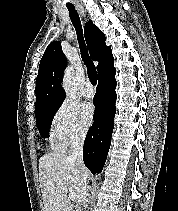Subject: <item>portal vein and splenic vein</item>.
Here are the masks:
<instances>
[{
	"mask_svg": "<svg viewBox=\"0 0 178 211\" xmlns=\"http://www.w3.org/2000/svg\"><path fill=\"white\" fill-rule=\"evenodd\" d=\"M64 192L68 193V189L67 187H63L62 188ZM69 198L71 201H75L77 198H76V195L74 193H69Z\"/></svg>",
	"mask_w": 178,
	"mask_h": 211,
	"instance_id": "obj_1",
	"label": "portal vein and splenic vein"
}]
</instances>
